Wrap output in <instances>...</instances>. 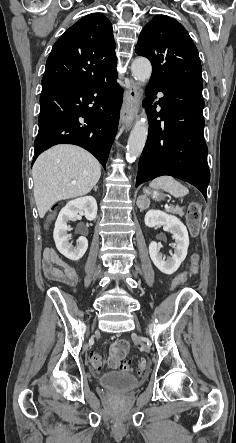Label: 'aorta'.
<instances>
[{"instance_id": "aorta-1", "label": "aorta", "mask_w": 236, "mask_h": 443, "mask_svg": "<svg viewBox=\"0 0 236 443\" xmlns=\"http://www.w3.org/2000/svg\"><path fill=\"white\" fill-rule=\"evenodd\" d=\"M132 75L139 82H145L151 76L152 66L144 57L136 58L131 65ZM148 135V122L146 113L143 112L136 121L127 143L126 156L129 160H135L140 156L145 146Z\"/></svg>"}]
</instances>
